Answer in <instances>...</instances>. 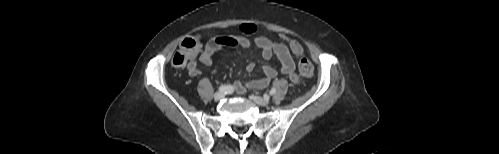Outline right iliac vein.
<instances>
[{"label":"right iliac vein","instance_id":"63e3f726","mask_svg":"<svg viewBox=\"0 0 499 154\" xmlns=\"http://www.w3.org/2000/svg\"><path fill=\"white\" fill-rule=\"evenodd\" d=\"M224 96H225V95H224V93H222V92H216V93L214 94V100H215V101H219V100L223 99V98H224Z\"/></svg>","mask_w":499,"mask_h":154}]
</instances>
